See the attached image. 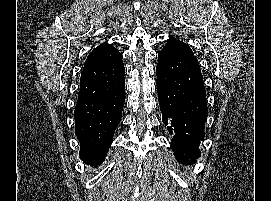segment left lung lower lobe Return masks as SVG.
Masks as SVG:
<instances>
[{
  "instance_id": "0a47b994",
  "label": "left lung lower lobe",
  "mask_w": 271,
  "mask_h": 201,
  "mask_svg": "<svg viewBox=\"0 0 271 201\" xmlns=\"http://www.w3.org/2000/svg\"><path fill=\"white\" fill-rule=\"evenodd\" d=\"M156 73L162 121L173 135L172 150L180 162L194 163L208 115L199 62L186 43L170 38L159 52Z\"/></svg>"
}]
</instances>
